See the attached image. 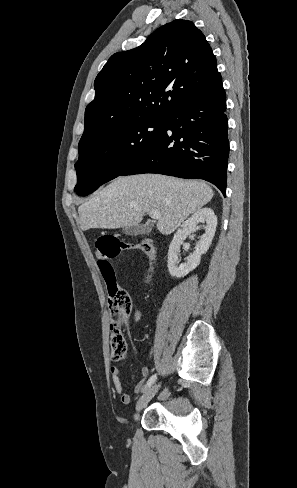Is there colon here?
Listing matches in <instances>:
<instances>
[{
  "mask_svg": "<svg viewBox=\"0 0 297 488\" xmlns=\"http://www.w3.org/2000/svg\"><path fill=\"white\" fill-rule=\"evenodd\" d=\"M95 245L100 257L97 264L109 294L111 355L114 360L118 361L124 358L127 351L122 325L124 318L130 314L132 302L129 293L117 284L116 273L110 260L117 258L125 250L140 249L148 256L152 265L151 271H153L156 250L147 241L128 243L111 234L101 235Z\"/></svg>",
  "mask_w": 297,
  "mask_h": 488,
  "instance_id": "obj_1",
  "label": "colon"
}]
</instances>
